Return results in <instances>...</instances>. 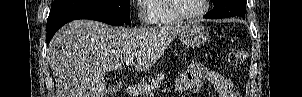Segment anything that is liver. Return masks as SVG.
<instances>
[{
  "instance_id": "1",
  "label": "liver",
  "mask_w": 302,
  "mask_h": 97,
  "mask_svg": "<svg viewBox=\"0 0 302 97\" xmlns=\"http://www.w3.org/2000/svg\"><path fill=\"white\" fill-rule=\"evenodd\" d=\"M185 26L125 28L92 20L64 25L48 47L56 97H104L106 72L122 69L129 57H136L141 71L149 70Z\"/></svg>"
}]
</instances>
